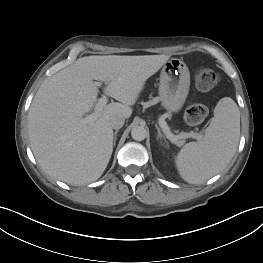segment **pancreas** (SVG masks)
<instances>
[{
  "label": "pancreas",
  "mask_w": 263,
  "mask_h": 263,
  "mask_svg": "<svg viewBox=\"0 0 263 263\" xmlns=\"http://www.w3.org/2000/svg\"><path fill=\"white\" fill-rule=\"evenodd\" d=\"M178 136V139L176 141L175 144H177L178 146H181L185 143V139L187 138L186 137V133L184 132H181L180 134L177 135Z\"/></svg>",
  "instance_id": "obj_1"
}]
</instances>
